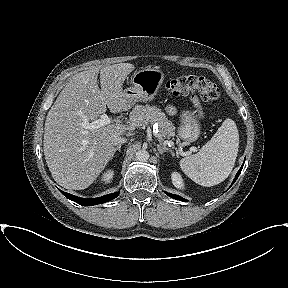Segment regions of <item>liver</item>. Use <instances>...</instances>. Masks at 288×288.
<instances>
[{"label": "liver", "instance_id": "6515ba94", "mask_svg": "<svg viewBox=\"0 0 288 288\" xmlns=\"http://www.w3.org/2000/svg\"><path fill=\"white\" fill-rule=\"evenodd\" d=\"M130 63L92 67L71 77L50 108L44 132V155L53 179L66 189L89 187L115 153L113 138L125 133L122 124L85 129L104 114L127 109L123 83L134 69ZM100 73L101 90L97 84Z\"/></svg>", "mask_w": 288, "mask_h": 288}]
</instances>
